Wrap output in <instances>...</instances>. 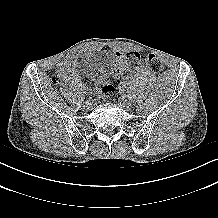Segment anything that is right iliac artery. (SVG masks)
<instances>
[{
	"mask_svg": "<svg viewBox=\"0 0 218 218\" xmlns=\"http://www.w3.org/2000/svg\"><path fill=\"white\" fill-rule=\"evenodd\" d=\"M86 93L89 95V96H88L89 98L94 96V93H93V92H90L89 90H88Z\"/></svg>",
	"mask_w": 218,
	"mask_h": 218,
	"instance_id": "1",
	"label": "right iliac artery"
}]
</instances>
